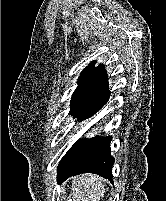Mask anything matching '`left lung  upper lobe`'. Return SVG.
<instances>
[{
    "label": "left lung upper lobe",
    "mask_w": 166,
    "mask_h": 201,
    "mask_svg": "<svg viewBox=\"0 0 166 201\" xmlns=\"http://www.w3.org/2000/svg\"><path fill=\"white\" fill-rule=\"evenodd\" d=\"M95 63L91 62L82 71L71 99L70 114L77 120H85L98 112L110 95L105 67L102 64L95 67Z\"/></svg>",
    "instance_id": "left-lung-upper-lobe-1"
}]
</instances>
